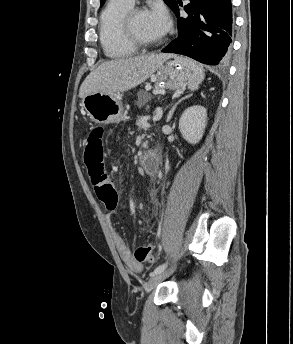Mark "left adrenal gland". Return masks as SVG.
I'll return each mask as SVG.
<instances>
[{
    "instance_id": "a2214340",
    "label": "left adrenal gland",
    "mask_w": 293,
    "mask_h": 344,
    "mask_svg": "<svg viewBox=\"0 0 293 344\" xmlns=\"http://www.w3.org/2000/svg\"><path fill=\"white\" fill-rule=\"evenodd\" d=\"M191 96H192V94L187 95V96L181 98L177 103H175V104L172 106L171 110L169 111V113H168V115H167V122H169V121L171 120V118H172V116H173V114H174V112H175V110H176V107H177L182 101H184L185 99L190 98Z\"/></svg>"
}]
</instances>
